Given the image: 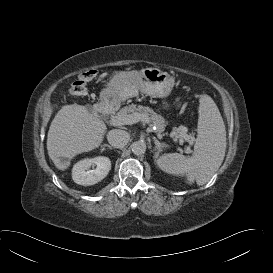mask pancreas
<instances>
[{
	"label": "pancreas",
	"instance_id": "pancreas-1",
	"mask_svg": "<svg viewBox=\"0 0 273 273\" xmlns=\"http://www.w3.org/2000/svg\"><path fill=\"white\" fill-rule=\"evenodd\" d=\"M134 113H140L144 115L145 120L151 123V125H156L157 132H162L166 126V121L162 116L155 113L151 108L142 105L137 106L135 104H131L129 106H125L122 109H120V111L117 112V114L114 117L122 118ZM177 134L179 138L190 143H192L194 140L193 136L191 134H188V128L185 126H179L177 129Z\"/></svg>",
	"mask_w": 273,
	"mask_h": 273
}]
</instances>
